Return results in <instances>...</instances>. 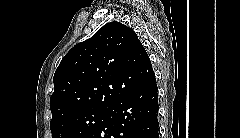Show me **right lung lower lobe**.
<instances>
[{
    "label": "right lung lower lobe",
    "mask_w": 240,
    "mask_h": 138,
    "mask_svg": "<svg viewBox=\"0 0 240 138\" xmlns=\"http://www.w3.org/2000/svg\"><path fill=\"white\" fill-rule=\"evenodd\" d=\"M158 109L154 76L144 86L110 105L91 138H158Z\"/></svg>",
    "instance_id": "right-lung-lower-lobe-1"
}]
</instances>
